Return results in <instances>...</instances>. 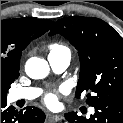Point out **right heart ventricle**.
<instances>
[{"label": "right heart ventricle", "mask_w": 123, "mask_h": 123, "mask_svg": "<svg viewBox=\"0 0 123 123\" xmlns=\"http://www.w3.org/2000/svg\"><path fill=\"white\" fill-rule=\"evenodd\" d=\"M64 50H68L65 46L61 45V44H52L50 46V53H53V52H60V51H64Z\"/></svg>", "instance_id": "obj_1"}]
</instances>
